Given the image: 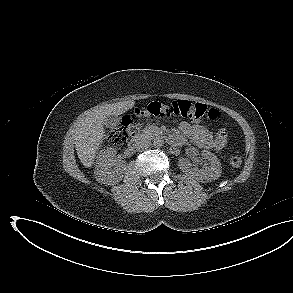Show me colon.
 Here are the masks:
<instances>
[{"mask_svg": "<svg viewBox=\"0 0 293 293\" xmlns=\"http://www.w3.org/2000/svg\"><path fill=\"white\" fill-rule=\"evenodd\" d=\"M220 113L216 109H208L204 104L192 102L189 100H176L170 104L162 102H152L145 109L136 110L134 115L124 116L118 125L110 130L109 139L115 144H123L137 133L140 120L165 118V117H185L193 120H199L207 117L210 120H216ZM228 139V132L221 128L218 130L215 138V145L222 149ZM234 168L241 165L239 156H232L229 160Z\"/></svg>", "mask_w": 293, "mask_h": 293, "instance_id": "5ec220e1", "label": "colon"}]
</instances>
